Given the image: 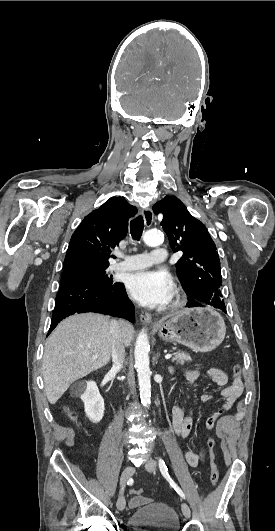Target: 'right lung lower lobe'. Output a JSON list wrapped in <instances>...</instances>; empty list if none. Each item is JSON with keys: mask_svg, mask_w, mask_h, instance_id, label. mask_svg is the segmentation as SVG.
Returning <instances> with one entry per match:
<instances>
[{"mask_svg": "<svg viewBox=\"0 0 275 531\" xmlns=\"http://www.w3.org/2000/svg\"><path fill=\"white\" fill-rule=\"evenodd\" d=\"M85 312L109 314L125 318L132 323L135 321L134 305L122 283L106 286L89 280L71 279L60 284L47 336L64 318Z\"/></svg>", "mask_w": 275, "mask_h": 531, "instance_id": "obj_1", "label": "right lung lower lobe"}]
</instances>
